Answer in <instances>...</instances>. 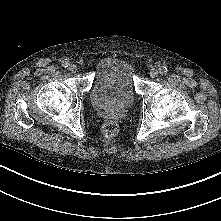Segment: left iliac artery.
<instances>
[{"label": "left iliac artery", "mask_w": 221, "mask_h": 221, "mask_svg": "<svg viewBox=\"0 0 221 221\" xmlns=\"http://www.w3.org/2000/svg\"><path fill=\"white\" fill-rule=\"evenodd\" d=\"M158 70H159L158 72H159L161 75H165V74L168 72L166 66H161Z\"/></svg>", "instance_id": "1"}]
</instances>
